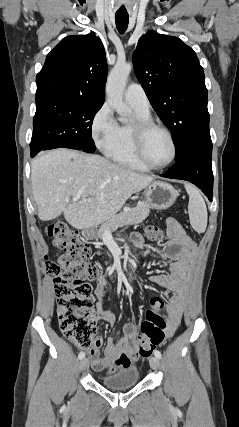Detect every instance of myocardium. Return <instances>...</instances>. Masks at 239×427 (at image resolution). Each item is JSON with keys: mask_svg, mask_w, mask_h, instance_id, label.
Listing matches in <instances>:
<instances>
[{"mask_svg": "<svg viewBox=\"0 0 239 427\" xmlns=\"http://www.w3.org/2000/svg\"><path fill=\"white\" fill-rule=\"evenodd\" d=\"M154 130L162 131L169 138L172 145V156L171 158L162 165H154L146 158L145 155V143L147 136ZM132 142L134 152L138 160L148 169L160 170L171 165L177 157V143L173 134L165 126L154 122L151 119L136 118L131 124Z\"/></svg>", "mask_w": 239, "mask_h": 427, "instance_id": "obj_1", "label": "myocardium"}]
</instances>
